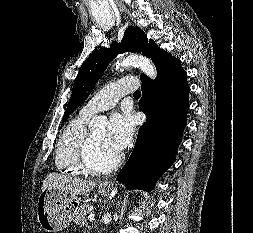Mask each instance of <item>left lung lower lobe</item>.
Instances as JSON below:
<instances>
[{
    "label": "left lung lower lobe",
    "instance_id": "left-lung-lower-lobe-1",
    "mask_svg": "<svg viewBox=\"0 0 253 233\" xmlns=\"http://www.w3.org/2000/svg\"><path fill=\"white\" fill-rule=\"evenodd\" d=\"M157 78L141 75L139 109L147 121L139 128L134 150L117 176L127 189L151 191L158 178L175 161L187 124L189 109L187 73L166 51L154 60Z\"/></svg>",
    "mask_w": 253,
    "mask_h": 233
}]
</instances>
